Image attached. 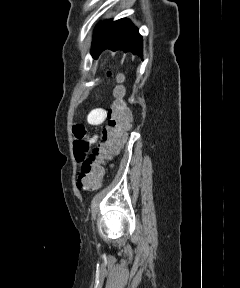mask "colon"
Wrapping results in <instances>:
<instances>
[{
	"instance_id": "obj_1",
	"label": "colon",
	"mask_w": 240,
	"mask_h": 288,
	"mask_svg": "<svg viewBox=\"0 0 240 288\" xmlns=\"http://www.w3.org/2000/svg\"><path fill=\"white\" fill-rule=\"evenodd\" d=\"M118 95H120V91H118ZM107 120L108 127L103 131L102 143L81 164V173L77 180V187L80 191L91 192L99 187L103 174V162L121 146L125 131L131 125V112L120 98L110 107Z\"/></svg>"
}]
</instances>
